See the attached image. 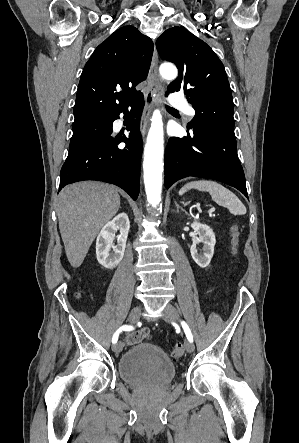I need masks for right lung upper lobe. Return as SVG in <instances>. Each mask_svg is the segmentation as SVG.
I'll list each match as a JSON object with an SVG mask.
<instances>
[{
	"label": "right lung upper lobe",
	"instance_id": "1",
	"mask_svg": "<svg viewBox=\"0 0 299 443\" xmlns=\"http://www.w3.org/2000/svg\"><path fill=\"white\" fill-rule=\"evenodd\" d=\"M153 42L133 26L111 34L93 52L79 82L74 123L120 111L132 105L135 86L148 75Z\"/></svg>",
	"mask_w": 299,
	"mask_h": 443
}]
</instances>
